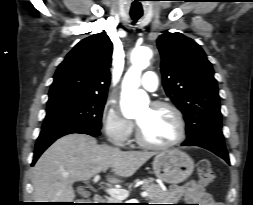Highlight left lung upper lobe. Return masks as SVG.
Returning <instances> with one entry per match:
<instances>
[{
  "mask_svg": "<svg viewBox=\"0 0 253 205\" xmlns=\"http://www.w3.org/2000/svg\"><path fill=\"white\" fill-rule=\"evenodd\" d=\"M157 45L164 89L187 123L184 143L208 137L223 139L217 83L202 48L181 33L163 34Z\"/></svg>",
  "mask_w": 253,
  "mask_h": 205,
  "instance_id": "left-lung-upper-lobe-1",
  "label": "left lung upper lobe"
}]
</instances>
